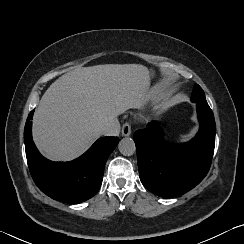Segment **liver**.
Segmentation results:
<instances>
[{
    "label": "liver",
    "mask_w": 244,
    "mask_h": 244,
    "mask_svg": "<svg viewBox=\"0 0 244 244\" xmlns=\"http://www.w3.org/2000/svg\"><path fill=\"white\" fill-rule=\"evenodd\" d=\"M142 64L76 67L56 79L36 108L33 140L46 158L70 161L100 136V127L138 106L147 86Z\"/></svg>",
    "instance_id": "obj_1"
}]
</instances>
